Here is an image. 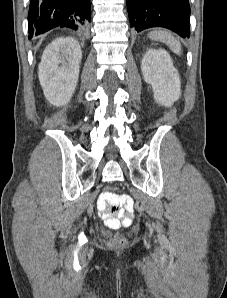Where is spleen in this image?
I'll list each match as a JSON object with an SVG mask.
<instances>
[{"instance_id":"obj_1","label":"spleen","mask_w":227,"mask_h":298,"mask_svg":"<svg viewBox=\"0 0 227 298\" xmlns=\"http://www.w3.org/2000/svg\"><path fill=\"white\" fill-rule=\"evenodd\" d=\"M148 36L151 40L165 43L174 53L181 54L180 42L169 32L164 30H157L150 32Z\"/></svg>"}]
</instances>
